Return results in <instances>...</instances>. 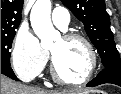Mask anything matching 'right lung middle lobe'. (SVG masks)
I'll return each instance as SVG.
<instances>
[{
    "mask_svg": "<svg viewBox=\"0 0 121 94\" xmlns=\"http://www.w3.org/2000/svg\"><path fill=\"white\" fill-rule=\"evenodd\" d=\"M16 32L1 33V66H10V52Z\"/></svg>",
    "mask_w": 121,
    "mask_h": 94,
    "instance_id": "right-lung-middle-lobe-1",
    "label": "right lung middle lobe"
}]
</instances>
